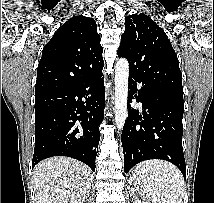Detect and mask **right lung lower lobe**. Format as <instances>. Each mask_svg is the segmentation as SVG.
Masks as SVG:
<instances>
[{
	"instance_id": "98d812e1",
	"label": "right lung lower lobe",
	"mask_w": 214,
	"mask_h": 203,
	"mask_svg": "<svg viewBox=\"0 0 214 203\" xmlns=\"http://www.w3.org/2000/svg\"><path fill=\"white\" fill-rule=\"evenodd\" d=\"M103 74L35 98L32 168L52 156H68L95 170L99 125L105 107Z\"/></svg>"
}]
</instances>
